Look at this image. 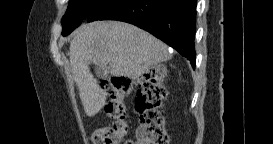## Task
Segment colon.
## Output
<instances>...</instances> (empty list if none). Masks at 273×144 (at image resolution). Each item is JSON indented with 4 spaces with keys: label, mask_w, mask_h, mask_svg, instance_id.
<instances>
[{
    "label": "colon",
    "mask_w": 273,
    "mask_h": 144,
    "mask_svg": "<svg viewBox=\"0 0 273 144\" xmlns=\"http://www.w3.org/2000/svg\"><path fill=\"white\" fill-rule=\"evenodd\" d=\"M165 76L164 67H154L137 80L136 110L140 115V122L136 130V144L169 142L165 119L161 112L163 100L167 95L163 86ZM132 86L133 81L127 77H112L101 82L100 87L110 95L105 111L113 119V123L94 130L92 135L94 144H118L127 132L123 98L131 92Z\"/></svg>",
    "instance_id": "1"
}]
</instances>
